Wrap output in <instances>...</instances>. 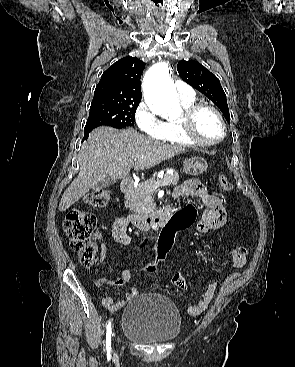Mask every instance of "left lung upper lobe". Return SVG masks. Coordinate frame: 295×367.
I'll use <instances>...</instances> for the list:
<instances>
[{"instance_id": "5c2ea615", "label": "left lung upper lobe", "mask_w": 295, "mask_h": 367, "mask_svg": "<svg viewBox=\"0 0 295 367\" xmlns=\"http://www.w3.org/2000/svg\"><path fill=\"white\" fill-rule=\"evenodd\" d=\"M177 70L186 83L207 96L221 110L226 120L230 121L226 95L214 74L199 62L192 60L180 61Z\"/></svg>"}]
</instances>
